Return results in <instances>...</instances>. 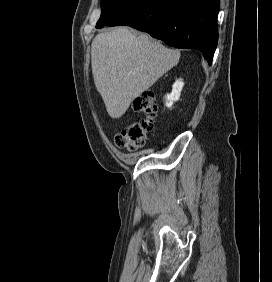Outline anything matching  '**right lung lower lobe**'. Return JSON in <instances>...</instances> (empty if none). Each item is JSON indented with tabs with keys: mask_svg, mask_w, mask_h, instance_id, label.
Masks as SVG:
<instances>
[{
	"mask_svg": "<svg viewBox=\"0 0 272 282\" xmlns=\"http://www.w3.org/2000/svg\"><path fill=\"white\" fill-rule=\"evenodd\" d=\"M220 0H136L106 25H127L169 46L198 49L211 65Z\"/></svg>",
	"mask_w": 272,
	"mask_h": 282,
	"instance_id": "right-lung-lower-lobe-1",
	"label": "right lung lower lobe"
}]
</instances>
